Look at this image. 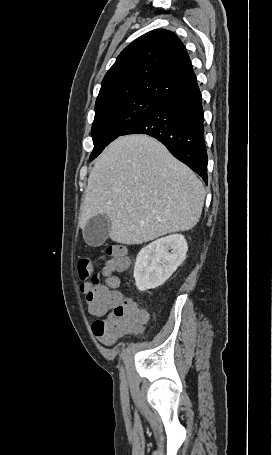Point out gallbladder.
I'll return each instance as SVG.
<instances>
[{
	"label": "gallbladder",
	"mask_w": 272,
	"mask_h": 455,
	"mask_svg": "<svg viewBox=\"0 0 272 455\" xmlns=\"http://www.w3.org/2000/svg\"><path fill=\"white\" fill-rule=\"evenodd\" d=\"M111 221L107 215L93 216L83 228V238L90 246H100L108 238Z\"/></svg>",
	"instance_id": "bac80fb5"
}]
</instances>
